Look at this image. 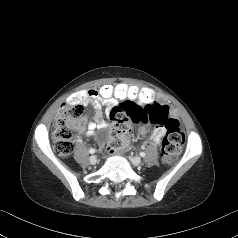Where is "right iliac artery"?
<instances>
[{
	"mask_svg": "<svg viewBox=\"0 0 238 238\" xmlns=\"http://www.w3.org/2000/svg\"><path fill=\"white\" fill-rule=\"evenodd\" d=\"M89 153H90V154L95 153V149L91 148V149L89 150Z\"/></svg>",
	"mask_w": 238,
	"mask_h": 238,
	"instance_id": "1",
	"label": "right iliac artery"
}]
</instances>
